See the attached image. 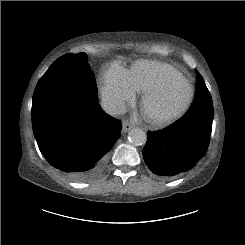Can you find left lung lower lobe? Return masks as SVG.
Wrapping results in <instances>:
<instances>
[{"label": "left lung lower lobe", "instance_id": "left-lung-lower-lobe-1", "mask_svg": "<svg viewBox=\"0 0 245 245\" xmlns=\"http://www.w3.org/2000/svg\"><path fill=\"white\" fill-rule=\"evenodd\" d=\"M200 108L191 119L182 117L161 131H148L143 156L149 169L163 178H174L192 169L202 159L210 143L213 103L206 96L208 89L203 79L196 81Z\"/></svg>", "mask_w": 245, "mask_h": 245}]
</instances>
